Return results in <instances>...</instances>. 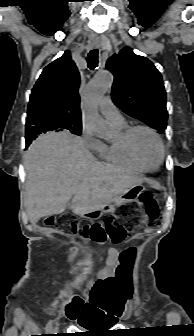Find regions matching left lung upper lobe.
I'll return each instance as SVG.
<instances>
[{
  "mask_svg": "<svg viewBox=\"0 0 194 336\" xmlns=\"http://www.w3.org/2000/svg\"><path fill=\"white\" fill-rule=\"evenodd\" d=\"M106 67L114 75V103L126 114L162 133L168 118L166 92L154 64L125 47L108 59Z\"/></svg>",
  "mask_w": 194,
  "mask_h": 336,
  "instance_id": "obj_1",
  "label": "left lung upper lobe"
}]
</instances>
